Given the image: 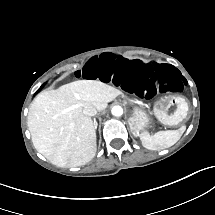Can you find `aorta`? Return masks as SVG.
<instances>
[{
    "mask_svg": "<svg viewBox=\"0 0 215 215\" xmlns=\"http://www.w3.org/2000/svg\"><path fill=\"white\" fill-rule=\"evenodd\" d=\"M111 113L114 116H121L123 114V108L121 106H114L111 109Z\"/></svg>",
    "mask_w": 215,
    "mask_h": 215,
    "instance_id": "1",
    "label": "aorta"
}]
</instances>
